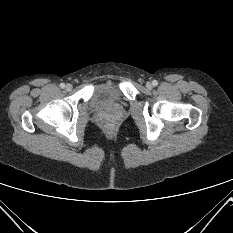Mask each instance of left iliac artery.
Returning <instances> with one entry per match:
<instances>
[{"label": "left iliac artery", "instance_id": "obj_1", "mask_svg": "<svg viewBox=\"0 0 233 233\" xmlns=\"http://www.w3.org/2000/svg\"><path fill=\"white\" fill-rule=\"evenodd\" d=\"M152 85H153V86H157V85H158V82H157L156 80H153V81H152Z\"/></svg>", "mask_w": 233, "mask_h": 233}]
</instances>
